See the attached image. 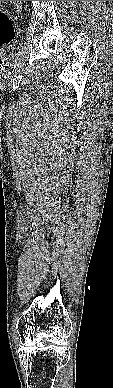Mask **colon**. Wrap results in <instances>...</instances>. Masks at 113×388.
Here are the masks:
<instances>
[{
    "label": "colon",
    "instance_id": "1",
    "mask_svg": "<svg viewBox=\"0 0 113 388\" xmlns=\"http://www.w3.org/2000/svg\"><path fill=\"white\" fill-rule=\"evenodd\" d=\"M15 28L11 15L4 10H0V48L8 45L14 39Z\"/></svg>",
    "mask_w": 113,
    "mask_h": 388
}]
</instances>
